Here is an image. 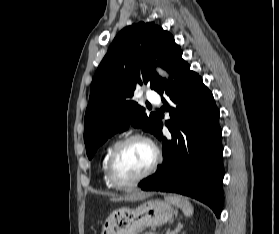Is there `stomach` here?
Instances as JSON below:
<instances>
[{"instance_id":"obj_1","label":"stomach","mask_w":279,"mask_h":234,"mask_svg":"<svg viewBox=\"0 0 279 234\" xmlns=\"http://www.w3.org/2000/svg\"><path fill=\"white\" fill-rule=\"evenodd\" d=\"M174 208L169 202L150 200L136 209L120 208L106 219L101 234H137L146 227L161 226L173 218Z\"/></svg>"}]
</instances>
